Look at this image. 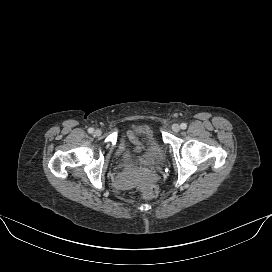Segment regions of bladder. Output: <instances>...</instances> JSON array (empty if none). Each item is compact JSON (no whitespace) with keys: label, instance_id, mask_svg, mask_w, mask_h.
<instances>
[{"label":"bladder","instance_id":"obj_1","mask_svg":"<svg viewBox=\"0 0 272 272\" xmlns=\"http://www.w3.org/2000/svg\"><path fill=\"white\" fill-rule=\"evenodd\" d=\"M133 133L142 134L147 137L148 140L144 151L141 157L136 158L123 146L118 148L115 153V161L118 166L129 167L136 161L162 163L165 160L164 150L154 137L153 131L149 125H137L129 130L127 134L130 135Z\"/></svg>","mask_w":272,"mask_h":272}]
</instances>
